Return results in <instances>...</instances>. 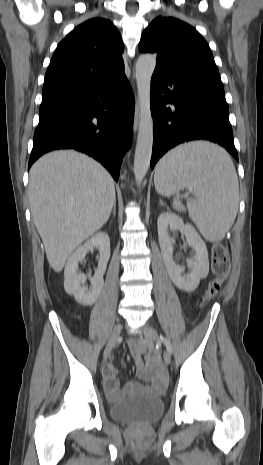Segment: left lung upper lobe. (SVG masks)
Instances as JSON below:
<instances>
[{"mask_svg": "<svg viewBox=\"0 0 263 465\" xmlns=\"http://www.w3.org/2000/svg\"><path fill=\"white\" fill-rule=\"evenodd\" d=\"M139 50L158 54L156 69L199 76L223 87L209 45L179 19L157 17L143 32Z\"/></svg>", "mask_w": 263, "mask_h": 465, "instance_id": "5c2ea615", "label": "left lung upper lobe"}]
</instances>
